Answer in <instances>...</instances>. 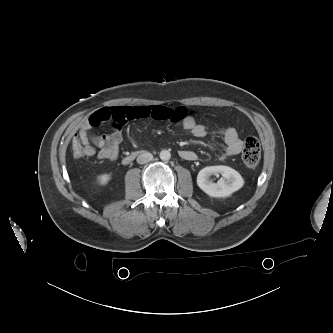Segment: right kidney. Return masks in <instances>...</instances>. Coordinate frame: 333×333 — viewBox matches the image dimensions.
I'll return each mask as SVG.
<instances>
[{
  "label": "right kidney",
  "mask_w": 333,
  "mask_h": 333,
  "mask_svg": "<svg viewBox=\"0 0 333 333\" xmlns=\"http://www.w3.org/2000/svg\"><path fill=\"white\" fill-rule=\"evenodd\" d=\"M111 179V176L108 174H103L98 178V181L101 185H105L109 182V180Z\"/></svg>",
  "instance_id": "ca27d5eb"
}]
</instances>
